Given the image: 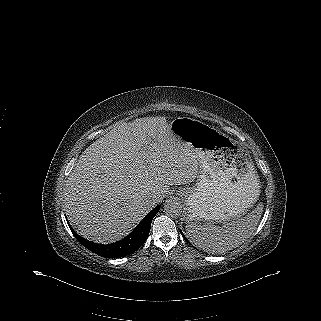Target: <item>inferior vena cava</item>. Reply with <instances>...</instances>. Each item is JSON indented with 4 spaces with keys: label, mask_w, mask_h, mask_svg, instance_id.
<instances>
[{
    "label": "inferior vena cava",
    "mask_w": 321,
    "mask_h": 321,
    "mask_svg": "<svg viewBox=\"0 0 321 321\" xmlns=\"http://www.w3.org/2000/svg\"><path fill=\"white\" fill-rule=\"evenodd\" d=\"M149 204L155 205V198L151 197L148 199Z\"/></svg>",
    "instance_id": "1"
}]
</instances>
